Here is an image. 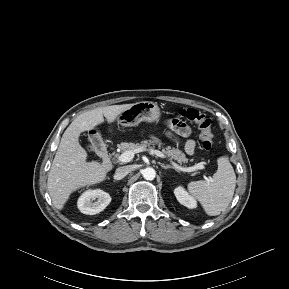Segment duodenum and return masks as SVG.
I'll use <instances>...</instances> for the list:
<instances>
[{
    "mask_svg": "<svg viewBox=\"0 0 289 289\" xmlns=\"http://www.w3.org/2000/svg\"><path fill=\"white\" fill-rule=\"evenodd\" d=\"M98 153L102 159V163H101L102 168L104 170H109L112 164H111L110 154L108 150L103 145H99Z\"/></svg>",
    "mask_w": 289,
    "mask_h": 289,
    "instance_id": "410a0bca",
    "label": "duodenum"
}]
</instances>
